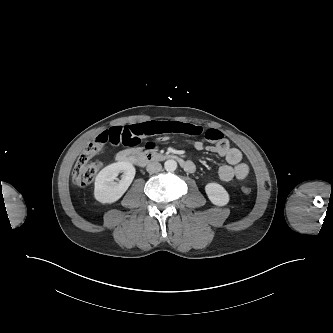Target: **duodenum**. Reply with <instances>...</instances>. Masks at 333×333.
I'll return each instance as SVG.
<instances>
[{
	"mask_svg": "<svg viewBox=\"0 0 333 333\" xmlns=\"http://www.w3.org/2000/svg\"><path fill=\"white\" fill-rule=\"evenodd\" d=\"M118 160L120 162L136 164L139 166H145L153 162L174 160L177 161L184 168V170L188 171L190 168L187 161H185L181 156L174 153H156L128 149L122 151L118 155Z\"/></svg>",
	"mask_w": 333,
	"mask_h": 333,
	"instance_id": "duodenum-1",
	"label": "duodenum"
}]
</instances>
